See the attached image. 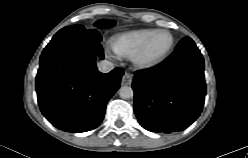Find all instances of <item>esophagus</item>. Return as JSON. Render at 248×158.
Wrapping results in <instances>:
<instances>
[{
	"label": "esophagus",
	"mask_w": 248,
	"mask_h": 158,
	"mask_svg": "<svg viewBox=\"0 0 248 158\" xmlns=\"http://www.w3.org/2000/svg\"><path fill=\"white\" fill-rule=\"evenodd\" d=\"M133 80V74L129 72H125V74L122 77V83L124 85H130Z\"/></svg>",
	"instance_id": "34e87169"
}]
</instances>
